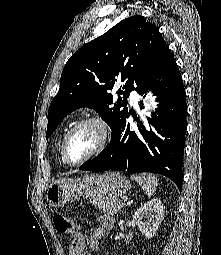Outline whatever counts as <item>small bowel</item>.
Listing matches in <instances>:
<instances>
[{
  "label": "small bowel",
  "mask_w": 221,
  "mask_h": 255,
  "mask_svg": "<svg viewBox=\"0 0 221 255\" xmlns=\"http://www.w3.org/2000/svg\"><path fill=\"white\" fill-rule=\"evenodd\" d=\"M113 218L110 215H102L98 218L96 226L93 228L88 241H85L84 235L80 229L77 234L72 235V241L69 247V255H83L85 247L89 250H95L101 238L113 227ZM87 255H91L87 253Z\"/></svg>",
  "instance_id": "1"
}]
</instances>
